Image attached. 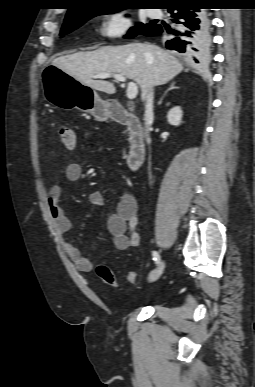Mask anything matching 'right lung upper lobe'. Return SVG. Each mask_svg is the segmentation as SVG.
<instances>
[{
  "instance_id": "right-lung-upper-lobe-1",
  "label": "right lung upper lobe",
  "mask_w": 255,
  "mask_h": 387,
  "mask_svg": "<svg viewBox=\"0 0 255 387\" xmlns=\"http://www.w3.org/2000/svg\"><path fill=\"white\" fill-rule=\"evenodd\" d=\"M75 4L71 7L66 18L76 17L89 11L95 10H113L117 9V6L128 4L130 0H75ZM164 3L170 5L174 2L181 0H163Z\"/></svg>"
}]
</instances>
